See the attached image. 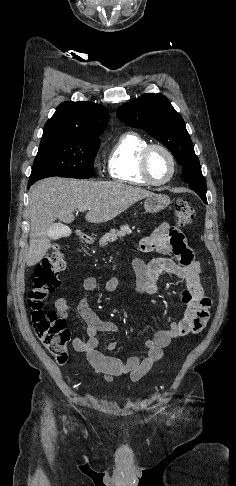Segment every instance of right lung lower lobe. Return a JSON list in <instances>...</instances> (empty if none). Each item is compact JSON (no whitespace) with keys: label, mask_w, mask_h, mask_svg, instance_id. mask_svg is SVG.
Segmentation results:
<instances>
[{"label":"right lung lower lobe","mask_w":236,"mask_h":486,"mask_svg":"<svg viewBox=\"0 0 236 486\" xmlns=\"http://www.w3.org/2000/svg\"><path fill=\"white\" fill-rule=\"evenodd\" d=\"M35 182H29L28 185L31 186L32 184H34Z\"/></svg>","instance_id":"98d812e1"}]
</instances>
